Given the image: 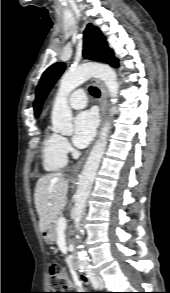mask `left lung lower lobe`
Returning <instances> with one entry per match:
<instances>
[{
  "label": "left lung lower lobe",
  "mask_w": 170,
  "mask_h": 293,
  "mask_svg": "<svg viewBox=\"0 0 170 293\" xmlns=\"http://www.w3.org/2000/svg\"><path fill=\"white\" fill-rule=\"evenodd\" d=\"M110 65L113 67H118V60L114 59Z\"/></svg>",
  "instance_id": "left-lung-lower-lobe-1"
}]
</instances>
